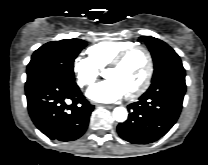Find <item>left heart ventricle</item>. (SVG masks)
Here are the masks:
<instances>
[{
	"label": "left heart ventricle",
	"instance_id": "1",
	"mask_svg": "<svg viewBox=\"0 0 208 165\" xmlns=\"http://www.w3.org/2000/svg\"><path fill=\"white\" fill-rule=\"evenodd\" d=\"M147 70V58L142 51H135L117 68L105 70V76L114 79L125 93L135 89L143 81Z\"/></svg>",
	"mask_w": 208,
	"mask_h": 165
}]
</instances>
